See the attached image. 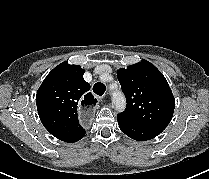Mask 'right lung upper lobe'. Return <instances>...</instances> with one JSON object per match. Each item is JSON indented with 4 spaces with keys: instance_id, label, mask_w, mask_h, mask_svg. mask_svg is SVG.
Listing matches in <instances>:
<instances>
[{
    "instance_id": "1",
    "label": "right lung upper lobe",
    "mask_w": 209,
    "mask_h": 179,
    "mask_svg": "<svg viewBox=\"0 0 209 179\" xmlns=\"http://www.w3.org/2000/svg\"><path fill=\"white\" fill-rule=\"evenodd\" d=\"M84 72L79 65L63 62L47 75L36 94L42 124L64 142L73 143L85 136L77 109H88L97 103L89 92L90 84L83 79Z\"/></svg>"
}]
</instances>
